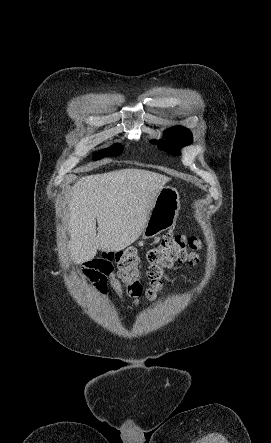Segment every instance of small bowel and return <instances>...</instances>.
I'll return each mask as SVG.
<instances>
[{
    "label": "small bowel",
    "mask_w": 271,
    "mask_h": 443,
    "mask_svg": "<svg viewBox=\"0 0 271 443\" xmlns=\"http://www.w3.org/2000/svg\"><path fill=\"white\" fill-rule=\"evenodd\" d=\"M81 273L94 284L96 291L101 296L105 295L108 285L118 294H122V286L114 275L111 264L93 259L82 266Z\"/></svg>",
    "instance_id": "small-bowel-1"
}]
</instances>
